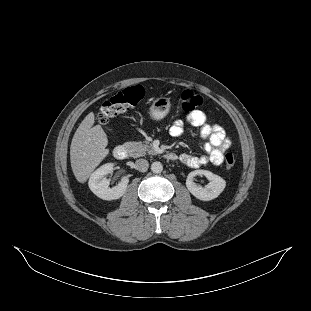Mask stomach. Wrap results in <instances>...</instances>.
Returning <instances> with one entry per match:
<instances>
[{
  "label": "stomach",
  "mask_w": 311,
  "mask_h": 311,
  "mask_svg": "<svg viewBox=\"0 0 311 311\" xmlns=\"http://www.w3.org/2000/svg\"><path fill=\"white\" fill-rule=\"evenodd\" d=\"M171 109L170 98L160 96L155 98L149 108V116L151 119L160 121L165 118Z\"/></svg>",
  "instance_id": "1"
}]
</instances>
